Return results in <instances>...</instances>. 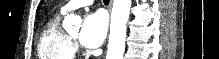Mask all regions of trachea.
Listing matches in <instances>:
<instances>
[{
    "label": "trachea",
    "instance_id": "obj_1",
    "mask_svg": "<svg viewBox=\"0 0 219 59\" xmlns=\"http://www.w3.org/2000/svg\"><path fill=\"white\" fill-rule=\"evenodd\" d=\"M103 2H104L105 4H108V3H109V0H103Z\"/></svg>",
    "mask_w": 219,
    "mask_h": 59
}]
</instances>
